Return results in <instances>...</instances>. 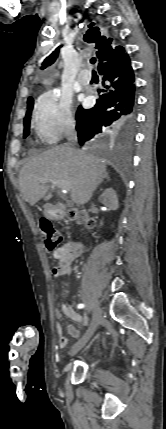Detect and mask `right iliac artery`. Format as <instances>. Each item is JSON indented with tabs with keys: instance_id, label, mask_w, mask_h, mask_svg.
<instances>
[{
	"instance_id": "82829eb1",
	"label": "right iliac artery",
	"mask_w": 166,
	"mask_h": 429,
	"mask_svg": "<svg viewBox=\"0 0 166 429\" xmlns=\"http://www.w3.org/2000/svg\"><path fill=\"white\" fill-rule=\"evenodd\" d=\"M84 304H79L78 306H77V308H79V309H81V308H84Z\"/></svg>"
}]
</instances>
